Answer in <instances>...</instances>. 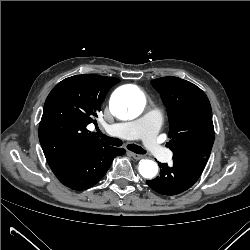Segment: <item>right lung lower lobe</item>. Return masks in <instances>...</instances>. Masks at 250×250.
Here are the masks:
<instances>
[{
    "instance_id": "98d812e1",
    "label": "right lung lower lobe",
    "mask_w": 250,
    "mask_h": 250,
    "mask_svg": "<svg viewBox=\"0 0 250 250\" xmlns=\"http://www.w3.org/2000/svg\"><path fill=\"white\" fill-rule=\"evenodd\" d=\"M124 153V149L107 145L87 152L76 161L53 165L51 170L62 184L81 191L95 185L105 175L113 159Z\"/></svg>"
}]
</instances>
